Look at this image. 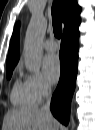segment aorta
Here are the masks:
<instances>
[{
	"instance_id": "1",
	"label": "aorta",
	"mask_w": 95,
	"mask_h": 130,
	"mask_svg": "<svg viewBox=\"0 0 95 130\" xmlns=\"http://www.w3.org/2000/svg\"><path fill=\"white\" fill-rule=\"evenodd\" d=\"M47 28L43 16L34 15L26 31L24 42V58L27 68L34 74H39L41 67L42 40Z\"/></svg>"
}]
</instances>
